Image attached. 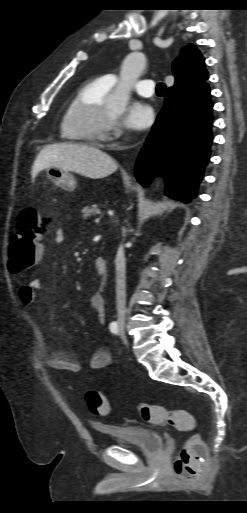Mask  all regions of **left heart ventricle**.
I'll use <instances>...</instances> for the list:
<instances>
[{"mask_svg": "<svg viewBox=\"0 0 247 513\" xmlns=\"http://www.w3.org/2000/svg\"><path fill=\"white\" fill-rule=\"evenodd\" d=\"M107 112L110 116H114V114H115V112L109 107H107Z\"/></svg>", "mask_w": 247, "mask_h": 513, "instance_id": "b2bd125f", "label": "left heart ventricle"}]
</instances>
